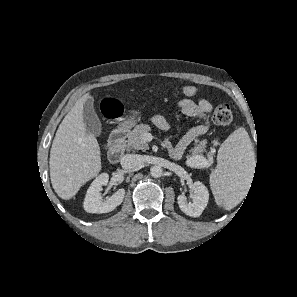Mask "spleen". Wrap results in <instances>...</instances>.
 <instances>
[{
    "label": "spleen",
    "instance_id": "3e777b00",
    "mask_svg": "<svg viewBox=\"0 0 297 297\" xmlns=\"http://www.w3.org/2000/svg\"><path fill=\"white\" fill-rule=\"evenodd\" d=\"M217 167L210 175V186L219 205L238 202L251 181L255 153L247 131L235 130L218 151Z\"/></svg>",
    "mask_w": 297,
    "mask_h": 297
}]
</instances>
